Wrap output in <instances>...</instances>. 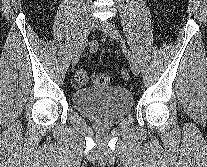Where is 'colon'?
<instances>
[{
	"mask_svg": "<svg viewBox=\"0 0 207 167\" xmlns=\"http://www.w3.org/2000/svg\"><path fill=\"white\" fill-rule=\"evenodd\" d=\"M120 77L123 80H128L130 78V71L128 69H122L120 71ZM75 80L79 84H86L90 80V75L86 70L79 69L75 73ZM92 81L98 86H107L112 83V78L104 73L96 74L92 76Z\"/></svg>",
	"mask_w": 207,
	"mask_h": 167,
	"instance_id": "obj_1",
	"label": "colon"
}]
</instances>
